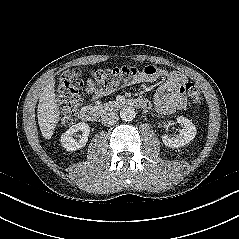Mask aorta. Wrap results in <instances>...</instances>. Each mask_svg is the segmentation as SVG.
I'll return each instance as SVG.
<instances>
[{
    "label": "aorta",
    "instance_id": "obj_1",
    "mask_svg": "<svg viewBox=\"0 0 239 239\" xmlns=\"http://www.w3.org/2000/svg\"><path fill=\"white\" fill-rule=\"evenodd\" d=\"M120 117L126 122L132 121L136 117L135 109L131 106L123 107L120 111Z\"/></svg>",
    "mask_w": 239,
    "mask_h": 239
}]
</instances>
